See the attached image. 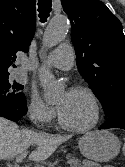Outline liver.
<instances>
[{
    "mask_svg": "<svg viewBox=\"0 0 125 167\" xmlns=\"http://www.w3.org/2000/svg\"><path fill=\"white\" fill-rule=\"evenodd\" d=\"M70 138V135L52 136L28 129H19L17 124L0 117V160L18 156L35 144L37 148L31 152L29 159L37 162L43 161Z\"/></svg>",
    "mask_w": 125,
    "mask_h": 167,
    "instance_id": "liver-1",
    "label": "liver"
}]
</instances>
